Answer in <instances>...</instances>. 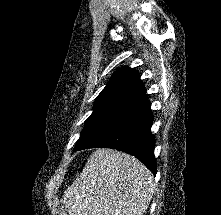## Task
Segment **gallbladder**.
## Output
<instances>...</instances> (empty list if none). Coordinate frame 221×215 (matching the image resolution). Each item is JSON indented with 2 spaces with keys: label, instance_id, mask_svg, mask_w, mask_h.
<instances>
[{
  "label": "gallbladder",
  "instance_id": "bac80fb5",
  "mask_svg": "<svg viewBox=\"0 0 221 215\" xmlns=\"http://www.w3.org/2000/svg\"><path fill=\"white\" fill-rule=\"evenodd\" d=\"M65 210H66V208H64V206H61V207L59 208V215H66V214H65Z\"/></svg>",
  "mask_w": 221,
  "mask_h": 215
}]
</instances>
